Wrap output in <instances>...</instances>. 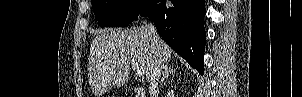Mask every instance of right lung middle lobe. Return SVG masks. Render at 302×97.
Instances as JSON below:
<instances>
[{
	"mask_svg": "<svg viewBox=\"0 0 302 97\" xmlns=\"http://www.w3.org/2000/svg\"><path fill=\"white\" fill-rule=\"evenodd\" d=\"M149 0H92L93 12L101 27L131 24Z\"/></svg>",
	"mask_w": 302,
	"mask_h": 97,
	"instance_id": "obj_1",
	"label": "right lung middle lobe"
}]
</instances>
